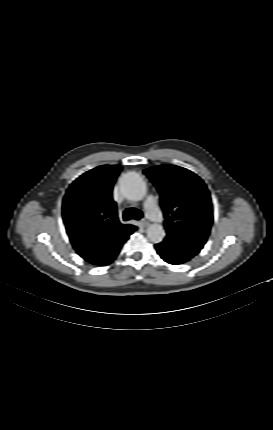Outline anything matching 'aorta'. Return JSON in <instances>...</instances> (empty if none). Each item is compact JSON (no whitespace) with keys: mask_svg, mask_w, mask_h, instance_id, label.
Returning <instances> with one entry per match:
<instances>
[{"mask_svg":"<svg viewBox=\"0 0 273 430\" xmlns=\"http://www.w3.org/2000/svg\"><path fill=\"white\" fill-rule=\"evenodd\" d=\"M120 188L122 194L131 201H140L146 195V184L135 172H128L121 177ZM146 232L154 244L162 242L165 237V230L160 224H151Z\"/></svg>","mask_w":273,"mask_h":430,"instance_id":"762f6f07","label":"aorta"}]
</instances>
